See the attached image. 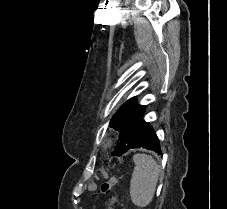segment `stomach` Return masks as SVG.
<instances>
[{"label":"stomach","mask_w":227,"mask_h":209,"mask_svg":"<svg viewBox=\"0 0 227 209\" xmlns=\"http://www.w3.org/2000/svg\"><path fill=\"white\" fill-rule=\"evenodd\" d=\"M116 201V199L115 198H112V203H114Z\"/></svg>","instance_id":"obj_1"}]
</instances>
